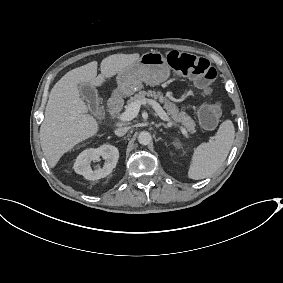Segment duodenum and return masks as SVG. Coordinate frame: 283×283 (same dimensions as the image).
Returning <instances> with one entry per match:
<instances>
[{"label": "duodenum", "mask_w": 283, "mask_h": 283, "mask_svg": "<svg viewBox=\"0 0 283 283\" xmlns=\"http://www.w3.org/2000/svg\"><path fill=\"white\" fill-rule=\"evenodd\" d=\"M123 105V101L120 95H114L109 100V108L118 113Z\"/></svg>", "instance_id": "obj_1"}]
</instances>
